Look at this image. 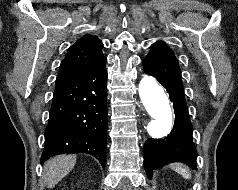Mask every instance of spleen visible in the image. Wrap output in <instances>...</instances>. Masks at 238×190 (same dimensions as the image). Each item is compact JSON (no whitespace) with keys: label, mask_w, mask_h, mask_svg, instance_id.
<instances>
[{"label":"spleen","mask_w":238,"mask_h":190,"mask_svg":"<svg viewBox=\"0 0 238 190\" xmlns=\"http://www.w3.org/2000/svg\"><path fill=\"white\" fill-rule=\"evenodd\" d=\"M171 168L177 173L181 174L185 179L191 178V173L187 167H184L179 163H175L171 165Z\"/></svg>","instance_id":"1"}]
</instances>
